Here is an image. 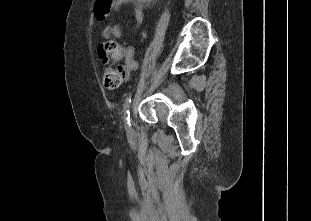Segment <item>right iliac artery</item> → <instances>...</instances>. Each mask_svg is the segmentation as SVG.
Instances as JSON below:
<instances>
[{"label":"right iliac artery","instance_id":"obj_1","mask_svg":"<svg viewBox=\"0 0 311 221\" xmlns=\"http://www.w3.org/2000/svg\"><path fill=\"white\" fill-rule=\"evenodd\" d=\"M130 104H131V96L127 97L125 104H124V120H125V125H126L128 131H130V129H131Z\"/></svg>","mask_w":311,"mask_h":221}]
</instances>
